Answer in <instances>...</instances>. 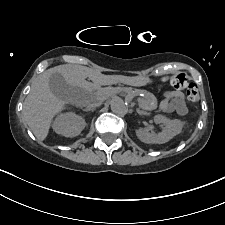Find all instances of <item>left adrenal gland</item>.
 Returning a JSON list of instances; mask_svg holds the SVG:
<instances>
[{
  "label": "left adrenal gland",
  "instance_id": "a2214340",
  "mask_svg": "<svg viewBox=\"0 0 225 225\" xmlns=\"http://www.w3.org/2000/svg\"><path fill=\"white\" fill-rule=\"evenodd\" d=\"M139 115H144L145 113L141 111L139 108L136 110Z\"/></svg>",
  "mask_w": 225,
  "mask_h": 225
}]
</instances>
